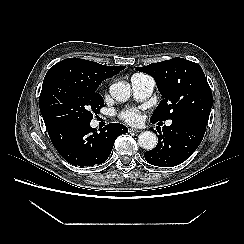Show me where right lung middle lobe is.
<instances>
[{
  "label": "right lung middle lobe",
  "instance_id": "dd1d6c3e",
  "mask_svg": "<svg viewBox=\"0 0 244 244\" xmlns=\"http://www.w3.org/2000/svg\"><path fill=\"white\" fill-rule=\"evenodd\" d=\"M39 104L49 130L67 123L91 122L93 114L100 113L104 100L95 90L53 73L44 78Z\"/></svg>",
  "mask_w": 244,
  "mask_h": 244
}]
</instances>
